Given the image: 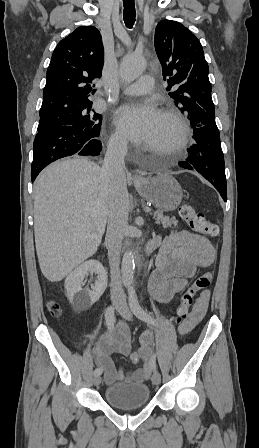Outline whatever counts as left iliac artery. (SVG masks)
Segmentation results:
<instances>
[{"mask_svg":"<svg viewBox=\"0 0 259 448\" xmlns=\"http://www.w3.org/2000/svg\"><path fill=\"white\" fill-rule=\"evenodd\" d=\"M128 294H129V305L134 315L137 318L149 324L157 325V321L150 314H148L139 304L134 286L132 284H128ZM152 358L155 361L156 354H153Z\"/></svg>","mask_w":259,"mask_h":448,"instance_id":"44dca946","label":"left iliac artery"}]
</instances>
